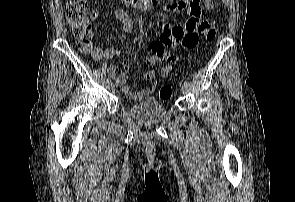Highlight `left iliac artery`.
Returning <instances> with one entry per match:
<instances>
[{
  "label": "left iliac artery",
  "instance_id": "44dca946",
  "mask_svg": "<svg viewBox=\"0 0 295 202\" xmlns=\"http://www.w3.org/2000/svg\"><path fill=\"white\" fill-rule=\"evenodd\" d=\"M184 84H186V85L189 86L190 85V82L186 80V81H184Z\"/></svg>",
  "mask_w": 295,
  "mask_h": 202
}]
</instances>
